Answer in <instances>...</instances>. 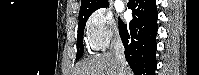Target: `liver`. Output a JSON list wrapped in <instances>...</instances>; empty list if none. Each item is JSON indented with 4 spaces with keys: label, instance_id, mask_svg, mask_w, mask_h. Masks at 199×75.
<instances>
[{
    "label": "liver",
    "instance_id": "6515ba94",
    "mask_svg": "<svg viewBox=\"0 0 199 75\" xmlns=\"http://www.w3.org/2000/svg\"><path fill=\"white\" fill-rule=\"evenodd\" d=\"M121 66L112 52H106L89 58L78 66L75 75H119ZM124 75H133L126 64Z\"/></svg>",
    "mask_w": 199,
    "mask_h": 75
}]
</instances>
